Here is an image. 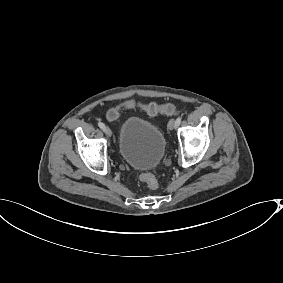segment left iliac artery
<instances>
[{"instance_id":"obj_1","label":"left iliac artery","mask_w":283,"mask_h":283,"mask_svg":"<svg viewBox=\"0 0 283 283\" xmlns=\"http://www.w3.org/2000/svg\"><path fill=\"white\" fill-rule=\"evenodd\" d=\"M181 120H182V117H181V116H179V117L176 119V125H175L176 128L180 125Z\"/></svg>"}]
</instances>
